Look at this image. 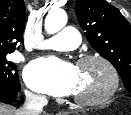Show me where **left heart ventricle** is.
Instances as JSON below:
<instances>
[{
    "instance_id": "b2bd125f",
    "label": "left heart ventricle",
    "mask_w": 131,
    "mask_h": 115,
    "mask_svg": "<svg viewBox=\"0 0 131 115\" xmlns=\"http://www.w3.org/2000/svg\"><path fill=\"white\" fill-rule=\"evenodd\" d=\"M77 97L92 98L102 94L110 85L107 69L98 62L85 63L77 68Z\"/></svg>"
}]
</instances>
